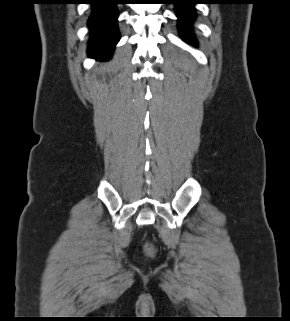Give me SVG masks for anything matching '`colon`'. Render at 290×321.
Returning <instances> with one entry per match:
<instances>
[{"label":"colon","instance_id":"1","mask_svg":"<svg viewBox=\"0 0 290 321\" xmlns=\"http://www.w3.org/2000/svg\"><path fill=\"white\" fill-rule=\"evenodd\" d=\"M146 250L151 253L153 251L152 247L150 245H146Z\"/></svg>","mask_w":290,"mask_h":321}]
</instances>
